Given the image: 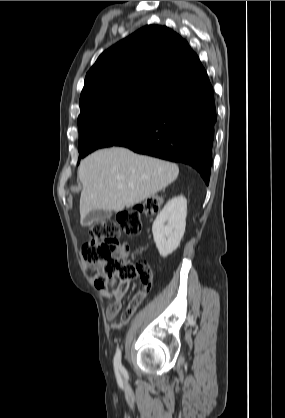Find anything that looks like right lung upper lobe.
I'll use <instances>...</instances> for the list:
<instances>
[{
  "label": "right lung upper lobe",
  "instance_id": "obj_1",
  "mask_svg": "<svg viewBox=\"0 0 285 418\" xmlns=\"http://www.w3.org/2000/svg\"><path fill=\"white\" fill-rule=\"evenodd\" d=\"M206 78L185 39L166 26L147 25L104 51L87 72L78 121L110 105H166Z\"/></svg>",
  "mask_w": 285,
  "mask_h": 418
}]
</instances>
